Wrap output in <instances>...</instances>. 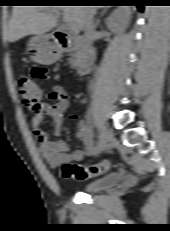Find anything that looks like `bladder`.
<instances>
[{
	"label": "bladder",
	"instance_id": "1",
	"mask_svg": "<svg viewBox=\"0 0 170 231\" xmlns=\"http://www.w3.org/2000/svg\"><path fill=\"white\" fill-rule=\"evenodd\" d=\"M123 181L124 175L119 172H114L85 184L83 190L87 193H98L112 189Z\"/></svg>",
	"mask_w": 170,
	"mask_h": 231
}]
</instances>
